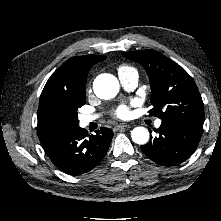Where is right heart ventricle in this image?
Listing matches in <instances>:
<instances>
[{"mask_svg": "<svg viewBox=\"0 0 221 221\" xmlns=\"http://www.w3.org/2000/svg\"><path fill=\"white\" fill-rule=\"evenodd\" d=\"M127 69H131V68L126 67V66H123V67H120V68H119V71H121V70H127Z\"/></svg>", "mask_w": 221, "mask_h": 221, "instance_id": "1", "label": "right heart ventricle"}]
</instances>
